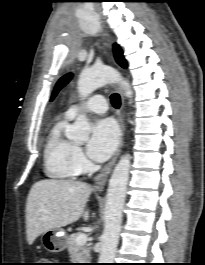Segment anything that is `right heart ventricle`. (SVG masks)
I'll list each match as a JSON object with an SVG mask.
<instances>
[{
	"label": "right heart ventricle",
	"mask_w": 205,
	"mask_h": 265,
	"mask_svg": "<svg viewBox=\"0 0 205 265\" xmlns=\"http://www.w3.org/2000/svg\"><path fill=\"white\" fill-rule=\"evenodd\" d=\"M68 119L65 117L58 120L50 129L45 141L44 172L52 179H73L79 172L75 164L76 146L64 134Z\"/></svg>",
	"instance_id": "1"
}]
</instances>
